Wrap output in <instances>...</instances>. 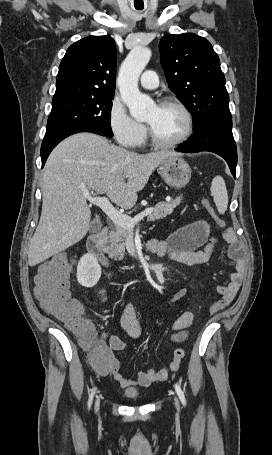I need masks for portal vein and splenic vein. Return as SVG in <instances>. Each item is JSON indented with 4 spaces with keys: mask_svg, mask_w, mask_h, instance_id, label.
I'll use <instances>...</instances> for the list:
<instances>
[{
    "mask_svg": "<svg viewBox=\"0 0 272 455\" xmlns=\"http://www.w3.org/2000/svg\"><path fill=\"white\" fill-rule=\"evenodd\" d=\"M83 196L92 204L98 206L103 210V212L117 225L133 229L135 225L140 222L145 216H148L152 213L153 208H147L142 211L140 214L131 218L127 215H124L118 212L112 204L109 202L107 197L92 196L88 191L83 193Z\"/></svg>",
    "mask_w": 272,
    "mask_h": 455,
    "instance_id": "1",
    "label": "portal vein and splenic vein"
}]
</instances>
